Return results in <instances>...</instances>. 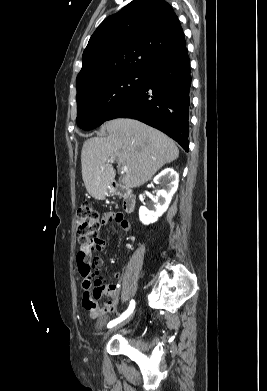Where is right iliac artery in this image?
<instances>
[{
    "label": "right iliac artery",
    "mask_w": 267,
    "mask_h": 391,
    "mask_svg": "<svg viewBox=\"0 0 267 391\" xmlns=\"http://www.w3.org/2000/svg\"><path fill=\"white\" fill-rule=\"evenodd\" d=\"M134 307H135V301L131 300L128 309L118 319H115V320L111 321L108 324V328H111V327L115 326L117 323H119V322L123 321L124 319H126L133 312Z\"/></svg>",
    "instance_id": "1"
}]
</instances>
